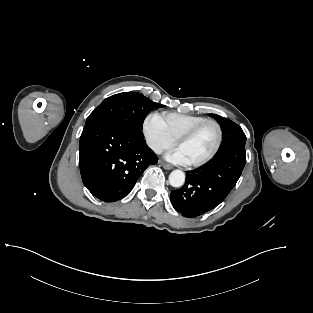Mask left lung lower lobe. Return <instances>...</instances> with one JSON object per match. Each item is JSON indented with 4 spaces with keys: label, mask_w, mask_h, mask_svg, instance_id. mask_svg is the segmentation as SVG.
<instances>
[{
    "label": "left lung lower lobe",
    "mask_w": 313,
    "mask_h": 313,
    "mask_svg": "<svg viewBox=\"0 0 313 313\" xmlns=\"http://www.w3.org/2000/svg\"><path fill=\"white\" fill-rule=\"evenodd\" d=\"M246 163L245 146L221 151L206 165L186 174L182 188L171 192V203L185 217H197L219 205L236 185Z\"/></svg>",
    "instance_id": "left-lung-lower-lobe-1"
}]
</instances>
